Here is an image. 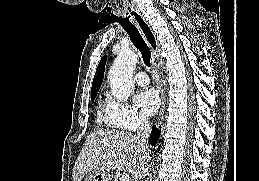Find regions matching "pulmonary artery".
Instances as JSON below:
<instances>
[{
	"label": "pulmonary artery",
	"instance_id": "1",
	"mask_svg": "<svg viewBox=\"0 0 259 181\" xmlns=\"http://www.w3.org/2000/svg\"><path fill=\"white\" fill-rule=\"evenodd\" d=\"M134 80L140 86H145L149 84L148 75L144 71H139L138 73H136L134 76Z\"/></svg>",
	"mask_w": 259,
	"mask_h": 181
}]
</instances>
